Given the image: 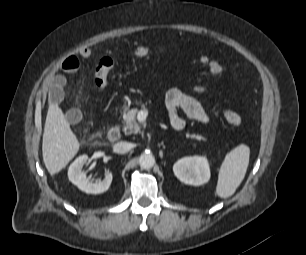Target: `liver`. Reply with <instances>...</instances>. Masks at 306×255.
I'll list each match as a JSON object with an SVG mask.
<instances>
[{"label":"liver","instance_id":"6515ba94","mask_svg":"<svg viewBox=\"0 0 306 255\" xmlns=\"http://www.w3.org/2000/svg\"><path fill=\"white\" fill-rule=\"evenodd\" d=\"M80 143L58 104L50 103L42 141L43 161L51 175L60 172L74 158Z\"/></svg>","mask_w":306,"mask_h":255}]
</instances>
